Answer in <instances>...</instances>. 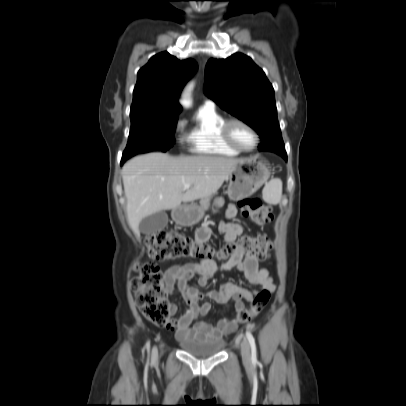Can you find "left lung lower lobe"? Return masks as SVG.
<instances>
[{
  "mask_svg": "<svg viewBox=\"0 0 406 406\" xmlns=\"http://www.w3.org/2000/svg\"><path fill=\"white\" fill-rule=\"evenodd\" d=\"M283 157L285 158V160H287V155H283Z\"/></svg>",
  "mask_w": 406,
  "mask_h": 406,
  "instance_id": "left-lung-lower-lobe-1",
  "label": "left lung lower lobe"
}]
</instances>
